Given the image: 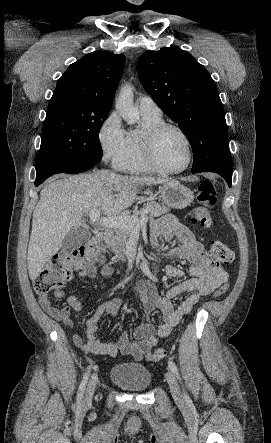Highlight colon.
Segmentation results:
<instances>
[{
  "label": "colon",
  "mask_w": 271,
  "mask_h": 443,
  "mask_svg": "<svg viewBox=\"0 0 271 443\" xmlns=\"http://www.w3.org/2000/svg\"><path fill=\"white\" fill-rule=\"evenodd\" d=\"M197 200L200 204L191 214L193 224L209 228L213 224L210 214L217 201V193L211 180H203L198 188ZM104 248L96 241L87 242L65 257L56 256L51 259L33 283L34 290L39 295H47L50 291L63 286L72 272L81 268L83 264L98 263L103 255ZM207 257L219 264H229L234 260L233 251L222 241H213ZM229 290V284L224 283L216 290L214 296L221 297ZM166 356V350L157 348L145 357L149 361H160Z\"/></svg>",
  "instance_id": "obj_1"
}]
</instances>
